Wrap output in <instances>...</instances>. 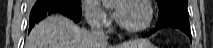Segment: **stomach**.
Instances as JSON below:
<instances>
[{
  "label": "stomach",
  "instance_id": "obj_1",
  "mask_svg": "<svg viewBox=\"0 0 213 48\" xmlns=\"http://www.w3.org/2000/svg\"><path fill=\"white\" fill-rule=\"evenodd\" d=\"M135 48H157L156 46L150 44V43H147V44H139L137 47Z\"/></svg>",
  "mask_w": 213,
  "mask_h": 48
}]
</instances>
